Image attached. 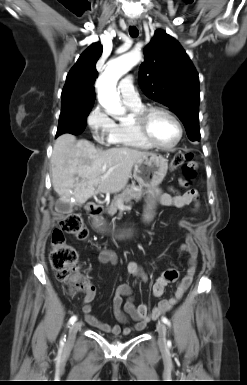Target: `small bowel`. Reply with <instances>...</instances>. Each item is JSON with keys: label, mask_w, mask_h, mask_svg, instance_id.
Listing matches in <instances>:
<instances>
[{"label": "small bowel", "mask_w": 247, "mask_h": 385, "mask_svg": "<svg viewBox=\"0 0 247 385\" xmlns=\"http://www.w3.org/2000/svg\"><path fill=\"white\" fill-rule=\"evenodd\" d=\"M159 202L161 205L176 208H182L193 204L194 208H197L199 205V196L198 192L194 189L188 190L185 193H160ZM179 225L186 229H189L192 226L191 222L187 220L180 221ZM179 252L188 255V266L184 276L179 279L178 270L174 268L168 269L156 280L152 288L153 295L155 297H161L165 287L169 283L177 282L176 290L172 297L161 299L157 305L150 310L146 304L136 305L134 303L132 290L128 284L119 285L112 300L114 316L119 324H127L129 321H133L132 325L122 329L119 324H108L93 315L91 302L95 297L96 288L91 284V288L86 293L83 304V312L86 321L100 331L111 333L113 335H128L133 331L143 330L148 322L159 318L163 313L170 310L182 298L192 283L196 272L198 248L192 234H187L185 242L179 248ZM98 261L101 264L116 265L118 258L114 251L105 249L99 253ZM127 270L134 277L145 282L148 281L147 273L136 262H128ZM124 298L126 299L125 303H123Z\"/></svg>", "instance_id": "obj_1"}]
</instances>
